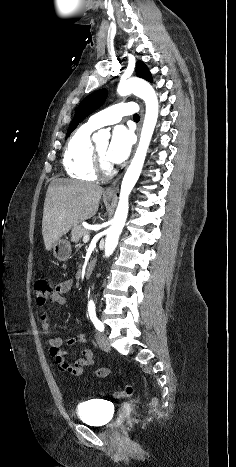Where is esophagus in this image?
Masks as SVG:
<instances>
[{
  "label": "esophagus",
  "mask_w": 236,
  "mask_h": 467,
  "mask_svg": "<svg viewBox=\"0 0 236 467\" xmlns=\"http://www.w3.org/2000/svg\"><path fill=\"white\" fill-rule=\"evenodd\" d=\"M143 116H144V110H143V107H141V119H140L139 127H138V129H137V134H138V136H139L140 129H141V124H142V121H143ZM119 180H120V177L117 178V179L112 183V185L109 186V187L105 190L104 194H105V195H110V196L115 195V194H116V189H117V184H118Z\"/></svg>",
  "instance_id": "obj_1"
}]
</instances>
